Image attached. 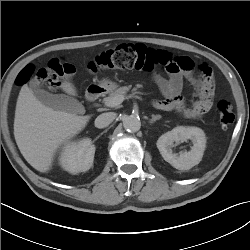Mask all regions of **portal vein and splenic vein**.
I'll return each instance as SVG.
<instances>
[{
  "instance_id": "18ae733b",
  "label": "portal vein and splenic vein",
  "mask_w": 250,
  "mask_h": 250,
  "mask_svg": "<svg viewBox=\"0 0 250 250\" xmlns=\"http://www.w3.org/2000/svg\"><path fill=\"white\" fill-rule=\"evenodd\" d=\"M125 100L124 96H116L114 98H112L111 100H109L106 104V106L108 107H116L118 105H120L123 101Z\"/></svg>"
}]
</instances>
